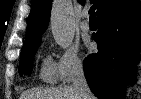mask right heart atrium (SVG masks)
<instances>
[{
    "mask_svg": "<svg viewBox=\"0 0 141 99\" xmlns=\"http://www.w3.org/2000/svg\"><path fill=\"white\" fill-rule=\"evenodd\" d=\"M84 60L76 46L63 49L57 56L55 70L57 78L62 82H69L74 76L83 71Z\"/></svg>",
    "mask_w": 141,
    "mask_h": 99,
    "instance_id": "obj_1",
    "label": "right heart atrium"
}]
</instances>
